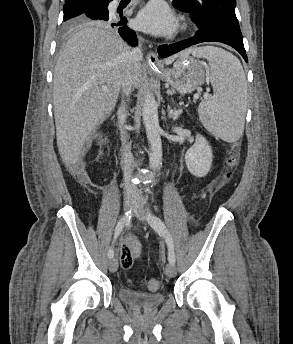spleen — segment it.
<instances>
[{
  "mask_svg": "<svg viewBox=\"0 0 293 344\" xmlns=\"http://www.w3.org/2000/svg\"><path fill=\"white\" fill-rule=\"evenodd\" d=\"M185 53L204 57L210 65L214 95L198 108L203 126L224 141H237L244 130L247 84L240 61L230 52L213 46L192 48Z\"/></svg>",
  "mask_w": 293,
  "mask_h": 344,
  "instance_id": "1",
  "label": "spleen"
}]
</instances>
